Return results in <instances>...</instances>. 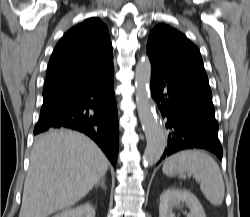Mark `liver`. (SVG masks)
Segmentation results:
<instances>
[{"label":"liver","instance_id":"1","mask_svg":"<svg viewBox=\"0 0 250 217\" xmlns=\"http://www.w3.org/2000/svg\"><path fill=\"white\" fill-rule=\"evenodd\" d=\"M107 169L106 156L87 136L66 129L39 135L31 152L19 217H47L74 205Z\"/></svg>","mask_w":250,"mask_h":217}]
</instances>
